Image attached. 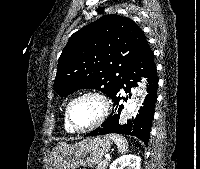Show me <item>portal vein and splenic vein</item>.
<instances>
[{
	"label": "portal vein and splenic vein",
	"instance_id": "portal-vein-and-splenic-vein-1",
	"mask_svg": "<svg viewBox=\"0 0 200 169\" xmlns=\"http://www.w3.org/2000/svg\"><path fill=\"white\" fill-rule=\"evenodd\" d=\"M105 157H106V160L110 159V156H109V155H107V156H105Z\"/></svg>",
	"mask_w": 200,
	"mask_h": 169
}]
</instances>
